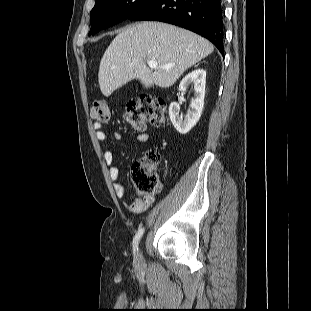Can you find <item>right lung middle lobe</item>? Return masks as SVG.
Wrapping results in <instances>:
<instances>
[{"label":"right lung middle lobe","instance_id":"dd1d6c3e","mask_svg":"<svg viewBox=\"0 0 311 311\" xmlns=\"http://www.w3.org/2000/svg\"><path fill=\"white\" fill-rule=\"evenodd\" d=\"M155 0H97L90 12V34L130 18Z\"/></svg>","mask_w":311,"mask_h":311}]
</instances>
